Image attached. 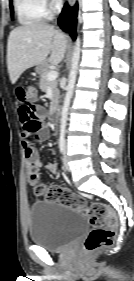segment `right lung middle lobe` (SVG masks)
Returning <instances> with one entry per match:
<instances>
[{
    "mask_svg": "<svg viewBox=\"0 0 134 281\" xmlns=\"http://www.w3.org/2000/svg\"><path fill=\"white\" fill-rule=\"evenodd\" d=\"M10 7H11V9H12V6H11V0H10ZM12 13H13V9H12Z\"/></svg>",
    "mask_w": 134,
    "mask_h": 281,
    "instance_id": "right-lung-middle-lobe-1",
    "label": "right lung middle lobe"
}]
</instances>
